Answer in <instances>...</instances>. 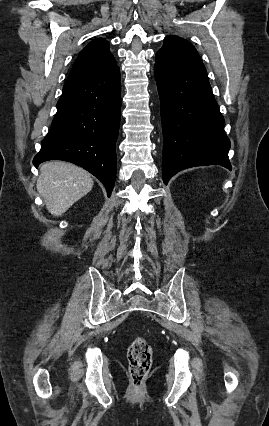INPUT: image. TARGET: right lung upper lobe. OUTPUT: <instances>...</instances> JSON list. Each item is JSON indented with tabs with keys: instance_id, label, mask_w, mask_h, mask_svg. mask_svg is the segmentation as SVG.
I'll list each match as a JSON object with an SVG mask.
<instances>
[{
	"instance_id": "cb5924a9",
	"label": "right lung upper lobe",
	"mask_w": 269,
	"mask_h": 426,
	"mask_svg": "<svg viewBox=\"0 0 269 426\" xmlns=\"http://www.w3.org/2000/svg\"><path fill=\"white\" fill-rule=\"evenodd\" d=\"M116 67V60L109 50V42L97 38L78 55L67 81L103 75Z\"/></svg>"
}]
</instances>
